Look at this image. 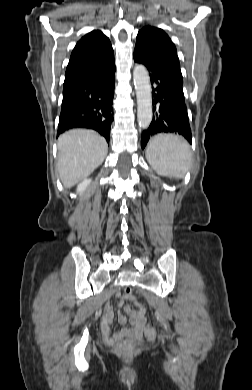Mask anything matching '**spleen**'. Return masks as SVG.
Returning <instances> with one entry per match:
<instances>
[{
	"label": "spleen",
	"instance_id": "1",
	"mask_svg": "<svg viewBox=\"0 0 252 390\" xmlns=\"http://www.w3.org/2000/svg\"><path fill=\"white\" fill-rule=\"evenodd\" d=\"M146 158L158 174L181 178L190 164L191 152L188 143L181 137L159 134L150 140Z\"/></svg>",
	"mask_w": 252,
	"mask_h": 390
}]
</instances>
